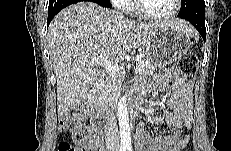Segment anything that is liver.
<instances>
[{
    "label": "liver",
    "instance_id": "6515ba94",
    "mask_svg": "<svg viewBox=\"0 0 231 151\" xmlns=\"http://www.w3.org/2000/svg\"><path fill=\"white\" fill-rule=\"evenodd\" d=\"M171 23L188 35L194 28L184 20L133 22L96 3L82 1L64 8L49 25L47 43L57 80V111L62 116L99 82L94 59L118 64L132 48L145 46L161 24Z\"/></svg>",
    "mask_w": 231,
    "mask_h": 151
}]
</instances>
